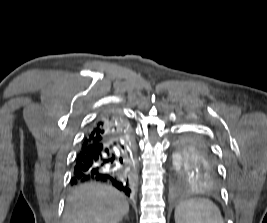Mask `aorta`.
<instances>
[{
    "label": "aorta",
    "mask_w": 267,
    "mask_h": 223,
    "mask_svg": "<svg viewBox=\"0 0 267 223\" xmlns=\"http://www.w3.org/2000/svg\"><path fill=\"white\" fill-rule=\"evenodd\" d=\"M177 163H178V157L175 155V156H174V166H176Z\"/></svg>",
    "instance_id": "762f6f07"
}]
</instances>
